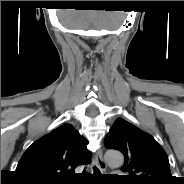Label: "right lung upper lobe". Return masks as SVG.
<instances>
[{
    "label": "right lung upper lobe",
    "mask_w": 184,
    "mask_h": 184,
    "mask_svg": "<svg viewBox=\"0 0 184 184\" xmlns=\"http://www.w3.org/2000/svg\"><path fill=\"white\" fill-rule=\"evenodd\" d=\"M87 144L71 124H63L26 150L16 172L28 182H70L77 166L91 162L92 153L86 148Z\"/></svg>",
    "instance_id": "cb5924a9"
}]
</instances>
